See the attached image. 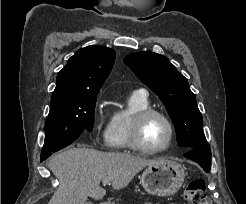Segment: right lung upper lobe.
Returning a JSON list of instances; mask_svg holds the SVG:
<instances>
[{"label": "right lung upper lobe", "instance_id": "right-lung-upper-lobe-1", "mask_svg": "<svg viewBox=\"0 0 246 204\" xmlns=\"http://www.w3.org/2000/svg\"><path fill=\"white\" fill-rule=\"evenodd\" d=\"M115 60V51L103 46L79 49L58 72L51 101L98 94Z\"/></svg>", "mask_w": 246, "mask_h": 204}]
</instances>
